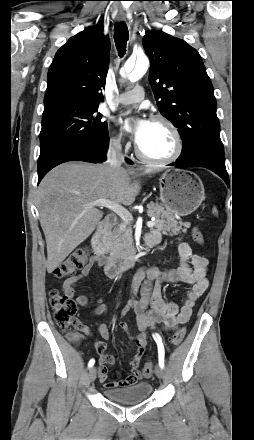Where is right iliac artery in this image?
Returning a JSON list of instances; mask_svg holds the SVG:
<instances>
[{
	"label": "right iliac artery",
	"mask_w": 254,
	"mask_h": 440,
	"mask_svg": "<svg viewBox=\"0 0 254 440\" xmlns=\"http://www.w3.org/2000/svg\"><path fill=\"white\" fill-rule=\"evenodd\" d=\"M94 363H95V360L91 359L88 363V367H92L94 365Z\"/></svg>",
	"instance_id": "82829eb1"
}]
</instances>
